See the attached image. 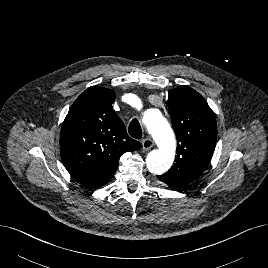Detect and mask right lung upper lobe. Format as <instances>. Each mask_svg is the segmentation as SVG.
Wrapping results in <instances>:
<instances>
[{
  "label": "right lung upper lobe",
  "mask_w": 268,
  "mask_h": 268,
  "mask_svg": "<svg viewBox=\"0 0 268 268\" xmlns=\"http://www.w3.org/2000/svg\"><path fill=\"white\" fill-rule=\"evenodd\" d=\"M114 100V90L92 86L76 99L62 124V161L77 182L90 188L112 179L123 153L142 148L128 136Z\"/></svg>",
  "instance_id": "1"
}]
</instances>
